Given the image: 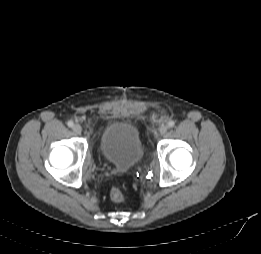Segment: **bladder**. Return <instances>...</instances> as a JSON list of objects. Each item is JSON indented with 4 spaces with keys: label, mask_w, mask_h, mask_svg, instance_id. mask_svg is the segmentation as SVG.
Instances as JSON below:
<instances>
[{
    "label": "bladder",
    "mask_w": 261,
    "mask_h": 254,
    "mask_svg": "<svg viewBox=\"0 0 261 254\" xmlns=\"http://www.w3.org/2000/svg\"><path fill=\"white\" fill-rule=\"evenodd\" d=\"M99 146L102 157L123 171L134 167L144 154L138 128L127 122L109 125L101 135Z\"/></svg>",
    "instance_id": "bladder-1"
}]
</instances>
